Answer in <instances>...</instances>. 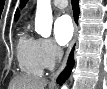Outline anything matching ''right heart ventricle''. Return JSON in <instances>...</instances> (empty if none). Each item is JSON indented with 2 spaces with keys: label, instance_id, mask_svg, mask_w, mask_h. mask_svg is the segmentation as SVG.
<instances>
[{
  "label": "right heart ventricle",
  "instance_id": "right-heart-ventricle-1",
  "mask_svg": "<svg viewBox=\"0 0 107 89\" xmlns=\"http://www.w3.org/2000/svg\"><path fill=\"white\" fill-rule=\"evenodd\" d=\"M17 60L22 72L28 75L39 76L44 66L39 54V39L31 36L25 29L17 44Z\"/></svg>",
  "mask_w": 107,
  "mask_h": 89
}]
</instances>
